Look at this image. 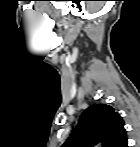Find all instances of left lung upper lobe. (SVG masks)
Returning <instances> with one entry per match:
<instances>
[{"mask_svg":"<svg viewBox=\"0 0 140 147\" xmlns=\"http://www.w3.org/2000/svg\"><path fill=\"white\" fill-rule=\"evenodd\" d=\"M126 147L127 134L124 121L115 109L107 104H95L81 115L78 124L62 147Z\"/></svg>","mask_w":140,"mask_h":147,"instance_id":"1","label":"left lung upper lobe"}]
</instances>
